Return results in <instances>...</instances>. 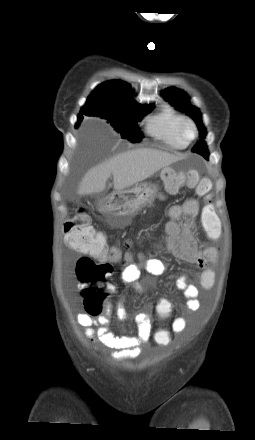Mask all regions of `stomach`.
Wrapping results in <instances>:
<instances>
[{
	"instance_id": "stomach-1",
	"label": "stomach",
	"mask_w": 255,
	"mask_h": 440,
	"mask_svg": "<svg viewBox=\"0 0 255 440\" xmlns=\"http://www.w3.org/2000/svg\"><path fill=\"white\" fill-rule=\"evenodd\" d=\"M156 195L155 185L136 184L133 187L113 192L109 197L98 201L97 206L101 212L125 225L142 209L152 204Z\"/></svg>"
}]
</instances>
